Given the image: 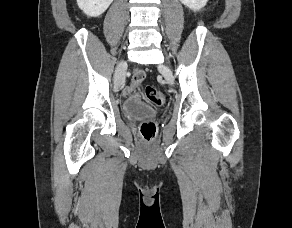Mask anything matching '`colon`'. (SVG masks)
Returning <instances> with one entry per match:
<instances>
[{
  "mask_svg": "<svg viewBox=\"0 0 292 228\" xmlns=\"http://www.w3.org/2000/svg\"><path fill=\"white\" fill-rule=\"evenodd\" d=\"M146 98L154 105L161 106L165 103V95L152 86H148L145 89ZM141 137L147 143L152 142L156 138L157 125L152 120H147L140 125Z\"/></svg>",
  "mask_w": 292,
  "mask_h": 228,
  "instance_id": "1",
  "label": "colon"
}]
</instances>
